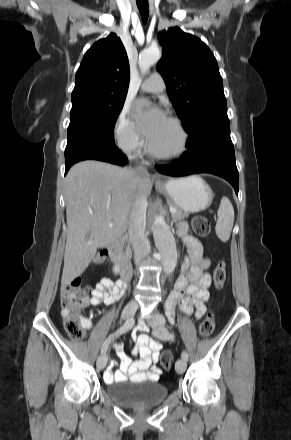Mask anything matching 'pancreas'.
Masks as SVG:
<instances>
[{
  "mask_svg": "<svg viewBox=\"0 0 291 440\" xmlns=\"http://www.w3.org/2000/svg\"><path fill=\"white\" fill-rule=\"evenodd\" d=\"M176 210H177V213L172 214V219L174 222H177V221H180L182 219L187 218L188 215L185 212H183L182 210H180L178 208H176Z\"/></svg>",
  "mask_w": 291,
  "mask_h": 440,
  "instance_id": "obj_1",
  "label": "pancreas"
}]
</instances>
